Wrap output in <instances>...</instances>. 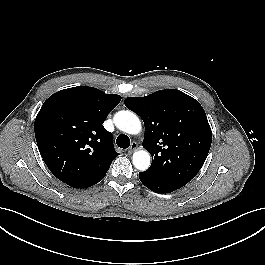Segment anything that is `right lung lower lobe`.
<instances>
[{"label":"right lung lower lobe","mask_w":265,"mask_h":265,"mask_svg":"<svg viewBox=\"0 0 265 265\" xmlns=\"http://www.w3.org/2000/svg\"><path fill=\"white\" fill-rule=\"evenodd\" d=\"M106 174H104L103 176L101 177H98L94 180H91V181H88L86 183H82V184H78V185H75V186H72L74 188H87V187H91L93 185H95L96 183H98L99 181H101L104 177H105Z\"/></svg>","instance_id":"1"}]
</instances>
